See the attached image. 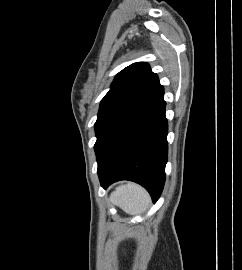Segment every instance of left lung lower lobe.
I'll return each mask as SVG.
<instances>
[{"label": "left lung lower lobe", "mask_w": 242, "mask_h": 270, "mask_svg": "<svg viewBox=\"0 0 242 270\" xmlns=\"http://www.w3.org/2000/svg\"><path fill=\"white\" fill-rule=\"evenodd\" d=\"M163 96L160 85L108 132L96 151L101 186L131 180L144 186L154 203L159 199L168 153Z\"/></svg>", "instance_id": "1"}]
</instances>
